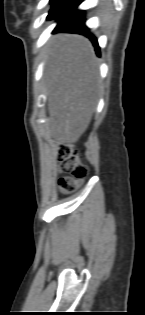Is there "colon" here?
Returning a JSON list of instances; mask_svg holds the SVG:
<instances>
[{
	"mask_svg": "<svg viewBox=\"0 0 145 315\" xmlns=\"http://www.w3.org/2000/svg\"><path fill=\"white\" fill-rule=\"evenodd\" d=\"M58 158L63 170L69 173V176L59 180V191L61 194H68L86 177L88 168L81 162L78 151L71 145H62Z\"/></svg>",
	"mask_w": 145,
	"mask_h": 315,
	"instance_id": "1",
	"label": "colon"
}]
</instances>
